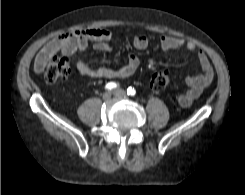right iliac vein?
<instances>
[{
  "instance_id": "1",
  "label": "right iliac vein",
  "mask_w": 245,
  "mask_h": 195,
  "mask_svg": "<svg viewBox=\"0 0 245 195\" xmlns=\"http://www.w3.org/2000/svg\"><path fill=\"white\" fill-rule=\"evenodd\" d=\"M112 96V92L111 91H107L103 94L102 98L103 100H109Z\"/></svg>"
}]
</instances>
